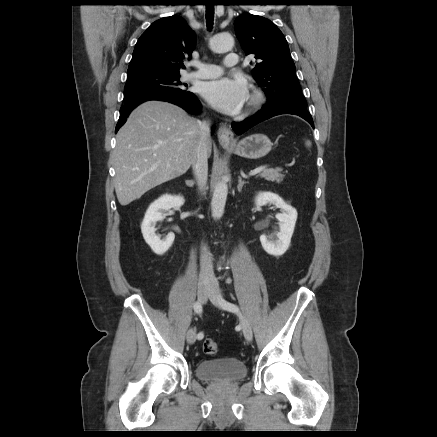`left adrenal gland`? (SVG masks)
Returning <instances> with one entry per match:
<instances>
[{
    "instance_id": "left-adrenal-gland-1",
    "label": "left adrenal gland",
    "mask_w": 437,
    "mask_h": 437,
    "mask_svg": "<svg viewBox=\"0 0 437 437\" xmlns=\"http://www.w3.org/2000/svg\"><path fill=\"white\" fill-rule=\"evenodd\" d=\"M238 178H239V180H238L237 189H238L239 192H241L243 185L246 184L247 182L242 180L241 176H238Z\"/></svg>"
}]
</instances>
